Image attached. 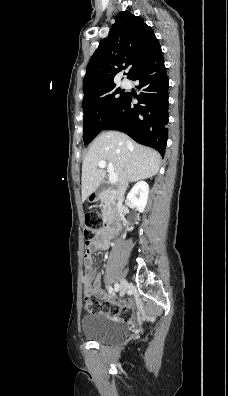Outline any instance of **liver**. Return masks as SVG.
Masks as SVG:
<instances>
[{
  "label": "liver",
  "instance_id": "liver-1",
  "mask_svg": "<svg viewBox=\"0 0 228 396\" xmlns=\"http://www.w3.org/2000/svg\"><path fill=\"white\" fill-rule=\"evenodd\" d=\"M101 160L113 164L119 181L126 175L128 182H136L157 174L161 156L123 133L108 131L99 134L83 160L82 201L95 192L106 175L104 168L98 169Z\"/></svg>",
  "mask_w": 228,
  "mask_h": 396
}]
</instances>
